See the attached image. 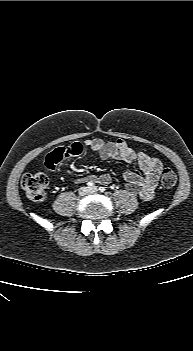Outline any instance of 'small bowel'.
I'll use <instances>...</instances> for the list:
<instances>
[{"label": "small bowel", "instance_id": "1", "mask_svg": "<svg viewBox=\"0 0 193 351\" xmlns=\"http://www.w3.org/2000/svg\"><path fill=\"white\" fill-rule=\"evenodd\" d=\"M86 149L92 150L101 160H116L136 164L142 173L138 174L129 169L125 170V189L129 194L138 195L144 200L152 198L163 168L162 163L146 153L135 152L123 139L105 141L100 138H92L86 139L84 142L77 141L60 145L45 156L44 168L50 172L54 171L59 162L63 160L73 162ZM111 181L112 178L109 174L80 176L72 180L74 184L93 182L103 185H108Z\"/></svg>", "mask_w": 193, "mask_h": 351}]
</instances>
